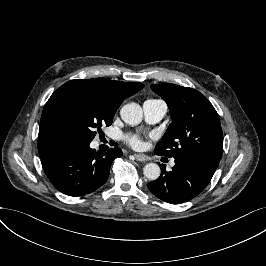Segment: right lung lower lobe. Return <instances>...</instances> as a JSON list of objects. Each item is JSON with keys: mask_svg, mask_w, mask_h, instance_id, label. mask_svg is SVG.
<instances>
[{"mask_svg": "<svg viewBox=\"0 0 266 266\" xmlns=\"http://www.w3.org/2000/svg\"><path fill=\"white\" fill-rule=\"evenodd\" d=\"M89 145L60 142L41 159L46 176L60 192L82 196L95 191L107 181L113 160L122 155L118 147L100 154Z\"/></svg>", "mask_w": 266, "mask_h": 266, "instance_id": "right-lung-lower-lobe-1", "label": "right lung lower lobe"}]
</instances>
